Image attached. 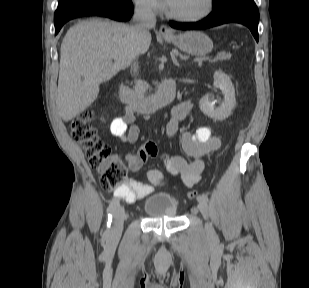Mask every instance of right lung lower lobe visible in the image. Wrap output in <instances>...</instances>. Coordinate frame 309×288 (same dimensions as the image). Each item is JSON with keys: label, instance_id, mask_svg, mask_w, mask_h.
Listing matches in <instances>:
<instances>
[{"label": "right lung lower lobe", "instance_id": "1", "mask_svg": "<svg viewBox=\"0 0 309 288\" xmlns=\"http://www.w3.org/2000/svg\"><path fill=\"white\" fill-rule=\"evenodd\" d=\"M133 13L131 0H88L66 12L54 16L55 34L67 21L81 16H104L118 21H127Z\"/></svg>", "mask_w": 309, "mask_h": 288}]
</instances>
